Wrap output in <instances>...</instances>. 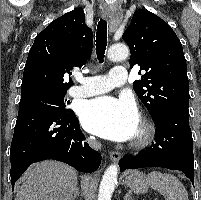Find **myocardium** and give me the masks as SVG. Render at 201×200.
Masks as SVG:
<instances>
[{
    "instance_id": "obj_1",
    "label": "myocardium",
    "mask_w": 201,
    "mask_h": 200,
    "mask_svg": "<svg viewBox=\"0 0 201 200\" xmlns=\"http://www.w3.org/2000/svg\"><path fill=\"white\" fill-rule=\"evenodd\" d=\"M139 133L132 141V146L135 148H142L151 143L154 138L155 128L153 124L146 118H139Z\"/></svg>"
}]
</instances>
